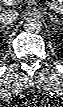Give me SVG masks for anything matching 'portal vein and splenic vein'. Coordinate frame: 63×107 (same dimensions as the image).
I'll use <instances>...</instances> for the list:
<instances>
[{"label":"portal vein and splenic vein","mask_w":63,"mask_h":107,"mask_svg":"<svg viewBox=\"0 0 63 107\" xmlns=\"http://www.w3.org/2000/svg\"><path fill=\"white\" fill-rule=\"evenodd\" d=\"M4 4L13 5L15 3L14 0H3ZM47 6L54 10L56 13L63 14V9L55 7L50 1H47Z\"/></svg>","instance_id":"obj_1"}]
</instances>
